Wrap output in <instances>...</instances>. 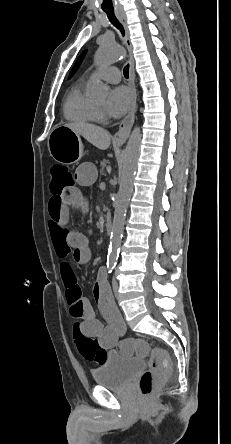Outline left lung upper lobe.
I'll list each match as a JSON object with an SVG mask.
<instances>
[{"label":"left lung upper lobe","instance_id":"obj_1","mask_svg":"<svg viewBox=\"0 0 231 444\" xmlns=\"http://www.w3.org/2000/svg\"><path fill=\"white\" fill-rule=\"evenodd\" d=\"M84 55H85V52H83V53L79 56V58L77 59L75 65H74V67H73V69H72V71H71V73H70V75H69V79H70V78L75 74V72L78 70V68H79V66H80V64H81V62H82V59H83Z\"/></svg>","mask_w":231,"mask_h":444}]
</instances>
